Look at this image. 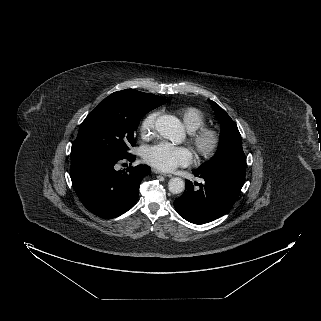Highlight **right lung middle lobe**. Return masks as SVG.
<instances>
[{
  "label": "right lung middle lobe",
  "mask_w": 321,
  "mask_h": 321,
  "mask_svg": "<svg viewBox=\"0 0 321 321\" xmlns=\"http://www.w3.org/2000/svg\"><path fill=\"white\" fill-rule=\"evenodd\" d=\"M153 99L132 89L106 97L81 123L71 156L92 153L111 159L130 156L141 117L168 102Z\"/></svg>",
  "instance_id": "1"
}]
</instances>
